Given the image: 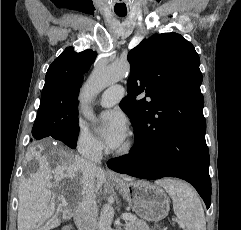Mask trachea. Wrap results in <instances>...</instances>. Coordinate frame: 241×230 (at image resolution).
<instances>
[{
	"label": "trachea",
	"instance_id": "obj_1",
	"mask_svg": "<svg viewBox=\"0 0 241 230\" xmlns=\"http://www.w3.org/2000/svg\"><path fill=\"white\" fill-rule=\"evenodd\" d=\"M116 14L121 17L126 16V13H116Z\"/></svg>",
	"mask_w": 241,
	"mask_h": 230
}]
</instances>
